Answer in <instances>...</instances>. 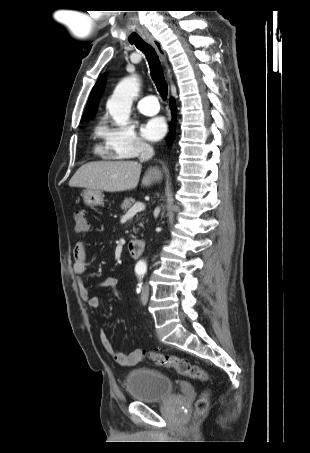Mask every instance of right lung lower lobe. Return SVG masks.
<instances>
[{
    "label": "right lung lower lobe",
    "mask_w": 310,
    "mask_h": 453,
    "mask_svg": "<svg viewBox=\"0 0 310 453\" xmlns=\"http://www.w3.org/2000/svg\"><path fill=\"white\" fill-rule=\"evenodd\" d=\"M170 107H171V110L173 113L174 120H173L172 126L170 127V132L167 136V139L169 141L172 140L175 135V121H176L175 118H176L177 109H176V104H175L174 99L171 100Z\"/></svg>",
    "instance_id": "obj_1"
}]
</instances>
